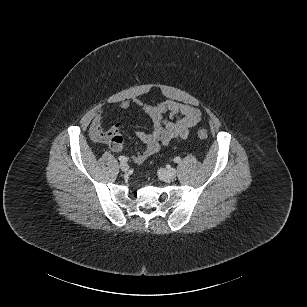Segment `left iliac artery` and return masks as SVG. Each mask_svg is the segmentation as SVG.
I'll return each mask as SVG.
<instances>
[{"label":"left iliac artery","instance_id":"left-iliac-artery-1","mask_svg":"<svg viewBox=\"0 0 307 307\" xmlns=\"http://www.w3.org/2000/svg\"><path fill=\"white\" fill-rule=\"evenodd\" d=\"M180 161H181L180 157H175V158H174V162H175V163H180Z\"/></svg>","mask_w":307,"mask_h":307}]
</instances>
